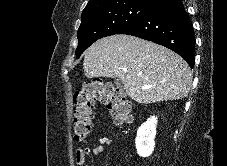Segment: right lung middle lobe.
Segmentation results:
<instances>
[{
  "label": "right lung middle lobe",
  "mask_w": 227,
  "mask_h": 166,
  "mask_svg": "<svg viewBox=\"0 0 227 166\" xmlns=\"http://www.w3.org/2000/svg\"><path fill=\"white\" fill-rule=\"evenodd\" d=\"M153 7L129 2L82 13L78 29L77 58L96 40L118 34L146 15Z\"/></svg>",
  "instance_id": "right-lung-middle-lobe-1"
}]
</instances>
